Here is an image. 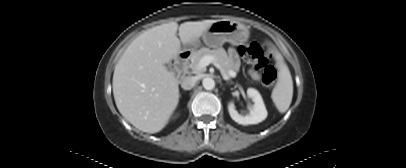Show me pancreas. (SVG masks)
<instances>
[{
	"label": "pancreas",
	"mask_w": 406,
	"mask_h": 168,
	"mask_svg": "<svg viewBox=\"0 0 406 168\" xmlns=\"http://www.w3.org/2000/svg\"><path fill=\"white\" fill-rule=\"evenodd\" d=\"M205 55H210L215 58V62L219 65L220 70L223 74L229 76V72L234 71L232 61L229 58L227 52L222 47L214 50L203 47L194 52L191 56V63L188 67L193 71V73H197L200 71L198 69V63L200 59Z\"/></svg>",
	"instance_id": "pancreas-1"
}]
</instances>
